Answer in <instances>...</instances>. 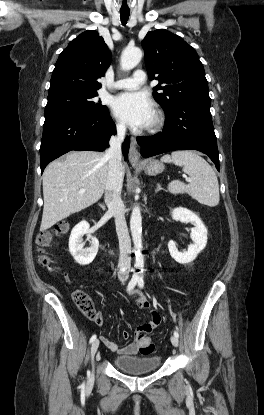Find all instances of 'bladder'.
Segmentation results:
<instances>
[{
	"mask_svg": "<svg viewBox=\"0 0 264 415\" xmlns=\"http://www.w3.org/2000/svg\"><path fill=\"white\" fill-rule=\"evenodd\" d=\"M114 364L119 369L130 374H141L155 371L160 367L159 356H117Z\"/></svg>",
	"mask_w": 264,
	"mask_h": 415,
	"instance_id": "bladder-1",
	"label": "bladder"
}]
</instances>
